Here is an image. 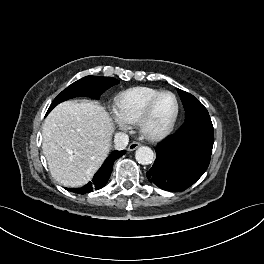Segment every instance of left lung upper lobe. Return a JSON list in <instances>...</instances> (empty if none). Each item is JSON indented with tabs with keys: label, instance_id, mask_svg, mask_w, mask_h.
Wrapping results in <instances>:
<instances>
[{
	"label": "left lung upper lobe",
	"instance_id": "5c2ea615",
	"mask_svg": "<svg viewBox=\"0 0 264 264\" xmlns=\"http://www.w3.org/2000/svg\"><path fill=\"white\" fill-rule=\"evenodd\" d=\"M177 91L185 109V122L182 127L200 120L210 119L206 108L193 95L180 89Z\"/></svg>",
	"mask_w": 264,
	"mask_h": 264
}]
</instances>
